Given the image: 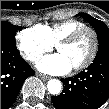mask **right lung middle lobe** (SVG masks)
Listing matches in <instances>:
<instances>
[{
    "instance_id": "right-lung-middle-lobe-1",
    "label": "right lung middle lobe",
    "mask_w": 109,
    "mask_h": 109,
    "mask_svg": "<svg viewBox=\"0 0 109 109\" xmlns=\"http://www.w3.org/2000/svg\"><path fill=\"white\" fill-rule=\"evenodd\" d=\"M22 28L9 22L1 21V46L16 49L15 33Z\"/></svg>"
}]
</instances>
